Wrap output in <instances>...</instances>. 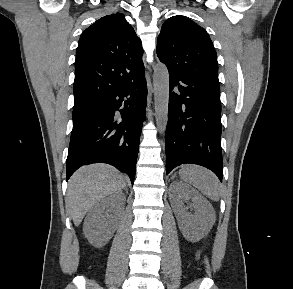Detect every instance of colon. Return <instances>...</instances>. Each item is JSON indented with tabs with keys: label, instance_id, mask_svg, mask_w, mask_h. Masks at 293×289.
I'll list each match as a JSON object with an SVG mask.
<instances>
[{
	"label": "colon",
	"instance_id": "obj_1",
	"mask_svg": "<svg viewBox=\"0 0 293 289\" xmlns=\"http://www.w3.org/2000/svg\"><path fill=\"white\" fill-rule=\"evenodd\" d=\"M201 252H198L196 255V260H198L200 258Z\"/></svg>",
	"mask_w": 293,
	"mask_h": 289
}]
</instances>
